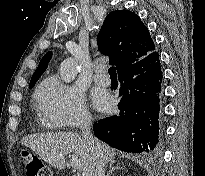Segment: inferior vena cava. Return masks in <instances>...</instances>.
<instances>
[{
	"label": "inferior vena cava",
	"mask_w": 205,
	"mask_h": 176,
	"mask_svg": "<svg viewBox=\"0 0 205 176\" xmlns=\"http://www.w3.org/2000/svg\"><path fill=\"white\" fill-rule=\"evenodd\" d=\"M91 118L84 117L80 124V129L82 131V138L89 146L90 150L94 155V165L95 171L93 176H105V160L101 150V147L97 140L93 137L90 132Z\"/></svg>",
	"instance_id": "1"
}]
</instances>
